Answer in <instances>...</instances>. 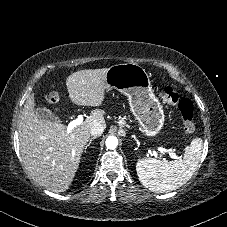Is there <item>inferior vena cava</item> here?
<instances>
[{
	"mask_svg": "<svg viewBox=\"0 0 227 227\" xmlns=\"http://www.w3.org/2000/svg\"><path fill=\"white\" fill-rule=\"evenodd\" d=\"M105 126L102 124H95L91 127L90 133L93 136H100L104 132Z\"/></svg>",
	"mask_w": 227,
	"mask_h": 227,
	"instance_id": "602c4592",
	"label": "inferior vena cava"
}]
</instances>
